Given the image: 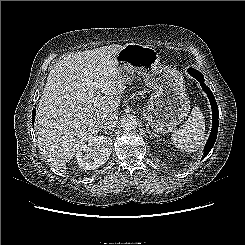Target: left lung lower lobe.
I'll return each instance as SVG.
<instances>
[{
    "instance_id": "left-lung-lower-lobe-1",
    "label": "left lung lower lobe",
    "mask_w": 245,
    "mask_h": 245,
    "mask_svg": "<svg viewBox=\"0 0 245 245\" xmlns=\"http://www.w3.org/2000/svg\"><path fill=\"white\" fill-rule=\"evenodd\" d=\"M188 72L190 73V75H192L195 79H197L200 84L202 89L207 93V96L209 98V101L211 103V108H212V130H211V134L206 142V145L204 147V152H203V156L202 159L211 151L216 138H217V132H218V125H219V115H218V106L216 103V100L214 98V95L212 93V91L210 90L209 87H207L204 84V77L203 75L198 72L197 70H195L194 68H190L188 70Z\"/></svg>"
}]
</instances>
